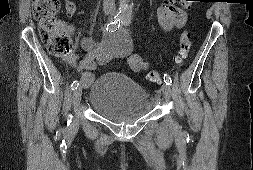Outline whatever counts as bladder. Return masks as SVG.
Wrapping results in <instances>:
<instances>
[{
	"label": "bladder",
	"mask_w": 253,
	"mask_h": 170,
	"mask_svg": "<svg viewBox=\"0 0 253 170\" xmlns=\"http://www.w3.org/2000/svg\"><path fill=\"white\" fill-rule=\"evenodd\" d=\"M148 103L147 89L122 72L107 71L100 74L89 89V106L113 122L142 115Z\"/></svg>",
	"instance_id": "obj_1"
}]
</instances>
